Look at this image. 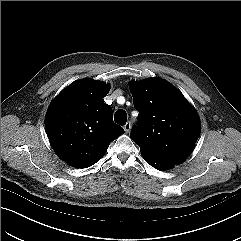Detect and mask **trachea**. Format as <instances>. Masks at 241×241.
Instances as JSON below:
<instances>
[{"label": "trachea", "mask_w": 241, "mask_h": 241, "mask_svg": "<svg viewBox=\"0 0 241 241\" xmlns=\"http://www.w3.org/2000/svg\"><path fill=\"white\" fill-rule=\"evenodd\" d=\"M114 120L117 124L119 125H125L126 121H127V115L126 112L122 109L118 110L115 114H114Z\"/></svg>", "instance_id": "obj_1"}]
</instances>
